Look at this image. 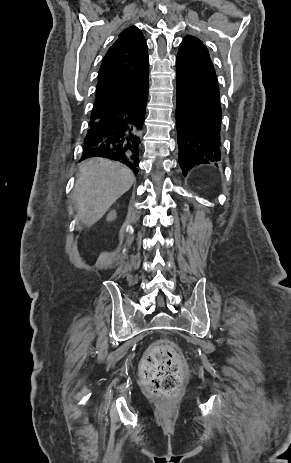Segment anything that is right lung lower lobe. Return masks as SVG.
Listing matches in <instances>:
<instances>
[{
  "mask_svg": "<svg viewBox=\"0 0 291 463\" xmlns=\"http://www.w3.org/2000/svg\"><path fill=\"white\" fill-rule=\"evenodd\" d=\"M148 98V81L105 117L90 122L82 158L104 157L119 161L138 173L140 134Z\"/></svg>",
  "mask_w": 291,
  "mask_h": 463,
  "instance_id": "1",
  "label": "right lung lower lobe"
}]
</instances>
